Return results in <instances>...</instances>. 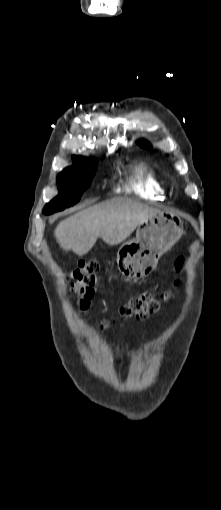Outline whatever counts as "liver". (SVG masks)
<instances>
[{
  "label": "liver",
  "mask_w": 221,
  "mask_h": 510,
  "mask_svg": "<svg viewBox=\"0 0 221 510\" xmlns=\"http://www.w3.org/2000/svg\"><path fill=\"white\" fill-rule=\"evenodd\" d=\"M159 209L130 199L116 198L82 209L62 220L54 230L61 248L78 256L87 254L100 237L118 245Z\"/></svg>",
  "instance_id": "6515ba94"
}]
</instances>
